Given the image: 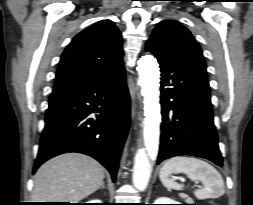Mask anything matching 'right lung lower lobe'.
Segmentation results:
<instances>
[{"instance_id":"1","label":"right lung lower lobe","mask_w":253,"mask_h":205,"mask_svg":"<svg viewBox=\"0 0 253 205\" xmlns=\"http://www.w3.org/2000/svg\"><path fill=\"white\" fill-rule=\"evenodd\" d=\"M130 121L125 69L98 82L52 93L33 173L65 152L89 155L115 182Z\"/></svg>"}]
</instances>
